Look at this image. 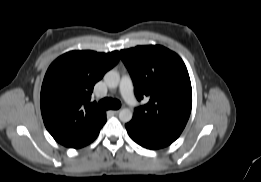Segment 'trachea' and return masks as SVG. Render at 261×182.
<instances>
[{
  "instance_id": "obj_1",
  "label": "trachea",
  "mask_w": 261,
  "mask_h": 182,
  "mask_svg": "<svg viewBox=\"0 0 261 182\" xmlns=\"http://www.w3.org/2000/svg\"><path fill=\"white\" fill-rule=\"evenodd\" d=\"M98 105L101 109L104 110H108V109L117 110L121 107L120 101L112 98H104L99 101Z\"/></svg>"
}]
</instances>
